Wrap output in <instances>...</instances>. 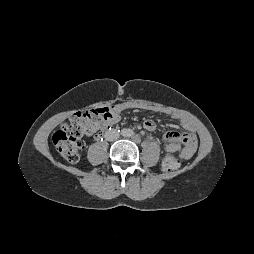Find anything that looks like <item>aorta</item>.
<instances>
[{
	"mask_svg": "<svg viewBox=\"0 0 254 254\" xmlns=\"http://www.w3.org/2000/svg\"><path fill=\"white\" fill-rule=\"evenodd\" d=\"M132 130L131 129H123L122 130V135L124 136V137H130L131 135H132Z\"/></svg>",
	"mask_w": 254,
	"mask_h": 254,
	"instance_id": "obj_1",
	"label": "aorta"
}]
</instances>
